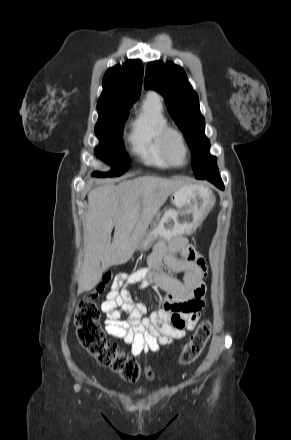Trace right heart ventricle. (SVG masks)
Here are the masks:
<instances>
[{
	"instance_id": "1",
	"label": "right heart ventricle",
	"mask_w": 291,
	"mask_h": 440,
	"mask_svg": "<svg viewBox=\"0 0 291 440\" xmlns=\"http://www.w3.org/2000/svg\"><path fill=\"white\" fill-rule=\"evenodd\" d=\"M168 126L162 99L149 92L139 111L130 123L128 144L130 153L147 165L167 167L162 153L161 133Z\"/></svg>"
}]
</instances>
